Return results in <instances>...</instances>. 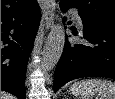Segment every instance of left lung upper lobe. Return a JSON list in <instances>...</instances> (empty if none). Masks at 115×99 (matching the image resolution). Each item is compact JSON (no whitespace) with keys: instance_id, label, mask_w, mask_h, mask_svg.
Here are the masks:
<instances>
[{"instance_id":"obj_1","label":"left lung upper lobe","mask_w":115,"mask_h":99,"mask_svg":"<svg viewBox=\"0 0 115 99\" xmlns=\"http://www.w3.org/2000/svg\"><path fill=\"white\" fill-rule=\"evenodd\" d=\"M60 5L76 8L82 21L115 30L114 0H61Z\"/></svg>"}]
</instances>
